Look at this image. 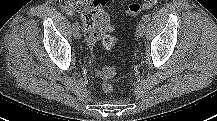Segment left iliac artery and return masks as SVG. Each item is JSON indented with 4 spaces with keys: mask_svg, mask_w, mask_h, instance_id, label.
<instances>
[{
    "mask_svg": "<svg viewBox=\"0 0 217 121\" xmlns=\"http://www.w3.org/2000/svg\"><path fill=\"white\" fill-rule=\"evenodd\" d=\"M142 21L145 22V23L149 22L150 21V16L149 15H144L142 17Z\"/></svg>",
    "mask_w": 217,
    "mask_h": 121,
    "instance_id": "44dca946",
    "label": "left iliac artery"
}]
</instances>
